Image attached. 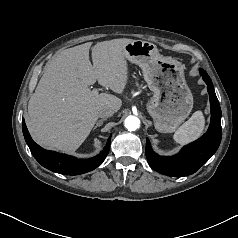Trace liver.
<instances>
[{"instance_id": "1", "label": "liver", "mask_w": 238, "mask_h": 238, "mask_svg": "<svg viewBox=\"0 0 238 238\" xmlns=\"http://www.w3.org/2000/svg\"><path fill=\"white\" fill-rule=\"evenodd\" d=\"M134 40L113 39L63 50L54 57L28 102L26 124L35 142L59 151L73 152L85 141L98 119V109L117 112L120 98L90 90L96 80L115 93L128 82L124 46Z\"/></svg>"}]
</instances>
